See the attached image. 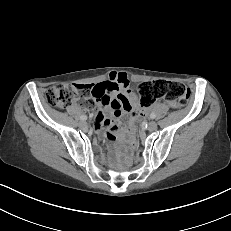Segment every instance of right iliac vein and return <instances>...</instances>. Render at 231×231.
<instances>
[{
	"label": "right iliac vein",
	"mask_w": 231,
	"mask_h": 231,
	"mask_svg": "<svg viewBox=\"0 0 231 231\" xmlns=\"http://www.w3.org/2000/svg\"><path fill=\"white\" fill-rule=\"evenodd\" d=\"M87 126H88V124H87L85 121H81V122L79 123V127H80L81 129L87 128Z\"/></svg>",
	"instance_id": "obj_1"
}]
</instances>
